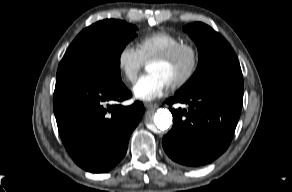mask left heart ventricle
Here are the masks:
<instances>
[{
  "mask_svg": "<svg viewBox=\"0 0 292 192\" xmlns=\"http://www.w3.org/2000/svg\"><path fill=\"white\" fill-rule=\"evenodd\" d=\"M191 64V56L187 51L181 52L177 57L168 62H150L147 70L161 75L168 84L182 77Z\"/></svg>",
  "mask_w": 292,
  "mask_h": 192,
  "instance_id": "b2bd125f",
  "label": "left heart ventricle"
}]
</instances>
